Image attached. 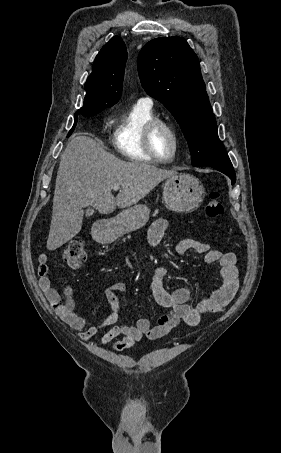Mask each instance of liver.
Returning <instances> with one entry per match:
<instances>
[{
    "label": "liver",
    "mask_w": 281,
    "mask_h": 453,
    "mask_svg": "<svg viewBox=\"0 0 281 453\" xmlns=\"http://www.w3.org/2000/svg\"><path fill=\"white\" fill-rule=\"evenodd\" d=\"M171 176H178L177 170H164L138 160L126 162L104 150L91 136H74L61 154L57 170L48 251H55L80 233L85 206L110 214L116 206L136 204ZM116 184L121 190L114 196Z\"/></svg>",
    "instance_id": "obj_1"
}]
</instances>
